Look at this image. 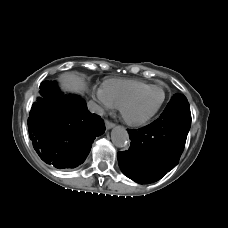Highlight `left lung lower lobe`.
<instances>
[{
	"label": "left lung lower lobe",
	"instance_id": "0a47b994",
	"mask_svg": "<svg viewBox=\"0 0 228 228\" xmlns=\"http://www.w3.org/2000/svg\"><path fill=\"white\" fill-rule=\"evenodd\" d=\"M190 125L191 117L161 114L139 130L128 129L131 145L117 155L120 169L141 184L159 180L178 164Z\"/></svg>",
	"mask_w": 228,
	"mask_h": 228
}]
</instances>
